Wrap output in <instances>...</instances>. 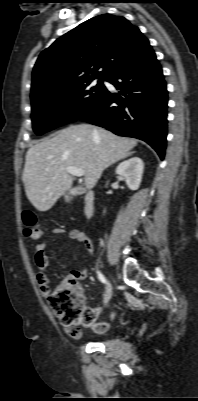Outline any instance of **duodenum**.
Returning a JSON list of instances; mask_svg holds the SVG:
<instances>
[{
    "label": "duodenum",
    "instance_id": "410a0bca",
    "mask_svg": "<svg viewBox=\"0 0 198 401\" xmlns=\"http://www.w3.org/2000/svg\"><path fill=\"white\" fill-rule=\"evenodd\" d=\"M83 210L86 218H92L95 213V194L92 190L86 189L84 191V204Z\"/></svg>",
    "mask_w": 198,
    "mask_h": 401
}]
</instances>
